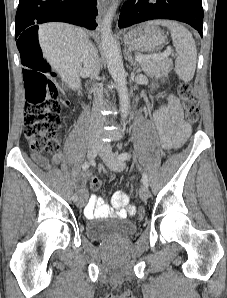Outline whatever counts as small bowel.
Returning <instances> with one entry per match:
<instances>
[{
  "label": "small bowel",
  "instance_id": "1",
  "mask_svg": "<svg viewBox=\"0 0 227 298\" xmlns=\"http://www.w3.org/2000/svg\"><path fill=\"white\" fill-rule=\"evenodd\" d=\"M152 127L164 149L180 147L191 133V126L184 120L182 106L174 95H170L166 104L153 113ZM32 157L43 168L57 165L61 160L60 154H56L51 163L40 154H33ZM88 179L89 175L83 174L79 180L81 197H84L85 200L88 195L86 186ZM112 204L114 212L101 197L92 195L84 207V215L86 218L92 219L108 217L114 213L118 218H125L135 212V208L129 205L128 197L123 192L119 191L114 194Z\"/></svg>",
  "mask_w": 227,
  "mask_h": 298
}]
</instances>
